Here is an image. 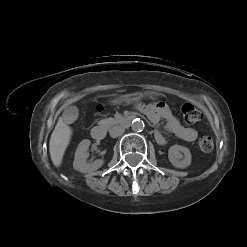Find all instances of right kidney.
Returning a JSON list of instances; mask_svg holds the SVG:
<instances>
[{
  "label": "right kidney",
  "instance_id": "obj_1",
  "mask_svg": "<svg viewBox=\"0 0 247 247\" xmlns=\"http://www.w3.org/2000/svg\"><path fill=\"white\" fill-rule=\"evenodd\" d=\"M91 142L88 139L82 140L75 152V159L73 162V168L81 173H90L99 169L103 164V159H98L93 163H87L88 158V148Z\"/></svg>",
  "mask_w": 247,
  "mask_h": 247
}]
</instances>
